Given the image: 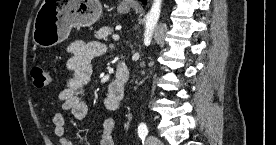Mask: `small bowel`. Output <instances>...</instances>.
<instances>
[{"mask_svg": "<svg viewBox=\"0 0 276 145\" xmlns=\"http://www.w3.org/2000/svg\"><path fill=\"white\" fill-rule=\"evenodd\" d=\"M70 58L67 62L68 69L72 75L66 86L59 94V100L64 109L71 112L77 121H82L88 113V105L82 98L84 88L92 75V60L104 53V47L99 42L85 43L74 41L69 48ZM124 93L116 90L114 81L110 83L106 98L105 108L108 111H116L123 100ZM54 134L59 138L60 145H72L71 140L66 136L65 118L62 113L53 115ZM117 120L109 115L102 122L101 145H114L113 132L116 129Z\"/></svg>", "mask_w": 276, "mask_h": 145, "instance_id": "1", "label": "small bowel"}]
</instances>
